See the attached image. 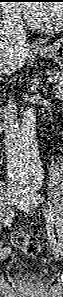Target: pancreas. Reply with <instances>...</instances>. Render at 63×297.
I'll return each mask as SVG.
<instances>
[{
  "mask_svg": "<svg viewBox=\"0 0 63 297\" xmlns=\"http://www.w3.org/2000/svg\"><path fill=\"white\" fill-rule=\"evenodd\" d=\"M53 76L55 77L56 81L55 83H58V88H61L62 84H63V73L55 71L53 73Z\"/></svg>",
  "mask_w": 63,
  "mask_h": 297,
  "instance_id": "1",
  "label": "pancreas"
}]
</instances>
